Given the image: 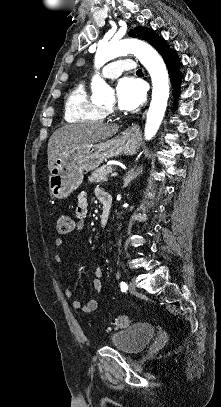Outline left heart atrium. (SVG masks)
I'll list each match as a JSON object with an SVG mask.
<instances>
[{"label": "left heart atrium", "mask_w": 221, "mask_h": 407, "mask_svg": "<svg viewBox=\"0 0 221 407\" xmlns=\"http://www.w3.org/2000/svg\"><path fill=\"white\" fill-rule=\"evenodd\" d=\"M115 92L119 107L134 110L144 102L146 90L140 79L127 76L117 82Z\"/></svg>", "instance_id": "1"}]
</instances>
